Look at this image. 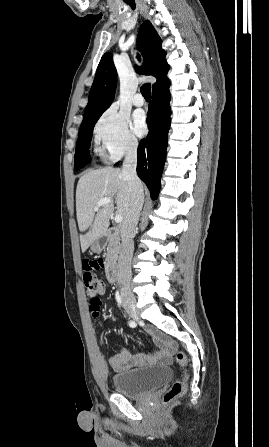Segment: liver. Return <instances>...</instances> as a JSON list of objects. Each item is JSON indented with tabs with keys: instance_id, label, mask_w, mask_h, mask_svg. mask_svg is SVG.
Wrapping results in <instances>:
<instances>
[{
	"instance_id": "liver-1",
	"label": "liver",
	"mask_w": 269,
	"mask_h": 447,
	"mask_svg": "<svg viewBox=\"0 0 269 447\" xmlns=\"http://www.w3.org/2000/svg\"><path fill=\"white\" fill-rule=\"evenodd\" d=\"M102 198H110L111 204L101 206L98 212L93 208ZM131 204V192L128 182L119 168H102V170H87L80 178L76 190V214L80 231L82 251L88 249L90 243L105 235L114 210L126 218Z\"/></svg>"
}]
</instances>
